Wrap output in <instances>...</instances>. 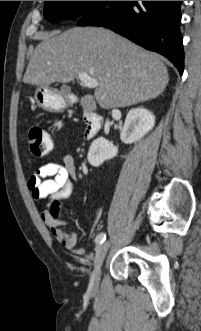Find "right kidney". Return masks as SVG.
Wrapping results in <instances>:
<instances>
[{
    "label": "right kidney",
    "instance_id": "right-kidney-1",
    "mask_svg": "<svg viewBox=\"0 0 201 331\" xmlns=\"http://www.w3.org/2000/svg\"><path fill=\"white\" fill-rule=\"evenodd\" d=\"M155 125V116L144 108H136L129 111L126 116L120 139L125 144H132L140 140L152 130ZM118 148L103 137L92 142L87 155L88 162L94 166H100L105 160L115 157Z\"/></svg>",
    "mask_w": 201,
    "mask_h": 331
}]
</instances>
